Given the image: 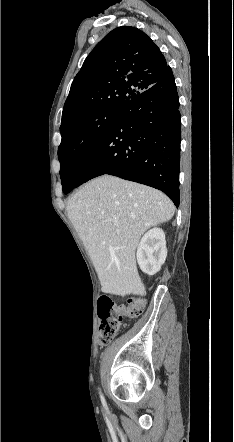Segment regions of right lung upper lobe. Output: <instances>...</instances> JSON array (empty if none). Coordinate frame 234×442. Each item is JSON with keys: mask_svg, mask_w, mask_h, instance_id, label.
<instances>
[{"mask_svg": "<svg viewBox=\"0 0 234 442\" xmlns=\"http://www.w3.org/2000/svg\"><path fill=\"white\" fill-rule=\"evenodd\" d=\"M168 67L141 30L122 26L107 34L85 59L65 102L60 131L92 112L125 103L154 85Z\"/></svg>", "mask_w": 234, "mask_h": 442, "instance_id": "obj_1", "label": "right lung upper lobe"}]
</instances>
